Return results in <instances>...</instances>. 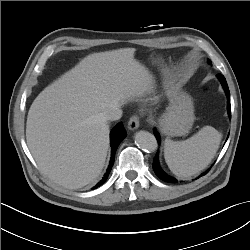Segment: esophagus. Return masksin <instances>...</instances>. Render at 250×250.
I'll return each mask as SVG.
<instances>
[{
    "label": "esophagus",
    "instance_id": "esophagus-1",
    "mask_svg": "<svg viewBox=\"0 0 250 250\" xmlns=\"http://www.w3.org/2000/svg\"><path fill=\"white\" fill-rule=\"evenodd\" d=\"M140 125V122H139V117L137 115H133L129 121H128V128L130 130H136Z\"/></svg>",
    "mask_w": 250,
    "mask_h": 250
}]
</instances>
